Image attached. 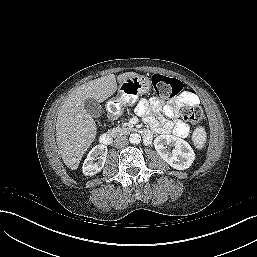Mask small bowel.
Listing matches in <instances>:
<instances>
[{
  "label": "small bowel",
  "mask_w": 257,
  "mask_h": 257,
  "mask_svg": "<svg viewBox=\"0 0 257 257\" xmlns=\"http://www.w3.org/2000/svg\"><path fill=\"white\" fill-rule=\"evenodd\" d=\"M199 104L198 97L189 91L183 92L179 97L163 104L159 99L152 98L150 100H141L136 107L137 113L143 116L151 127V131L158 134L172 132L176 136L185 137L189 133V126L184 122L177 120L175 122L170 119L177 115V111L181 106H196ZM153 111L162 112L166 118L155 119L151 116ZM151 131L149 141L152 137Z\"/></svg>",
  "instance_id": "1"
}]
</instances>
